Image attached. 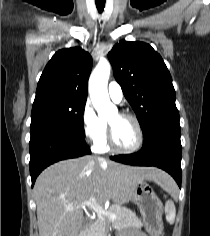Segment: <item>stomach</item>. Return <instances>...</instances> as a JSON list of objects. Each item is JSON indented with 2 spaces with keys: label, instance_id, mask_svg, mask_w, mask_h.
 <instances>
[{
  "label": "stomach",
  "instance_id": "1",
  "mask_svg": "<svg viewBox=\"0 0 210 236\" xmlns=\"http://www.w3.org/2000/svg\"><path fill=\"white\" fill-rule=\"evenodd\" d=\"M130 200L139 207L144 227L150 236H161L164 229L162 203L145 181L136 183Z\"/></svg>",
  "mask_w": 210,
  "mask_h": 236
}]
</instances>
